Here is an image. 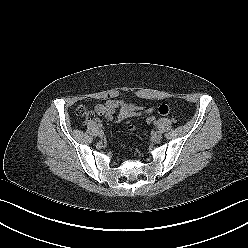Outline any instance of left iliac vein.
I'll use <instances>...</instances> for the list:
<instances>
[{
    "label": "left iliac vein",
    "mask_w": 248,
    "mask_h": 248,
    "mask_svg": "<svg viewBox=\"0 0 248 248\" xmlns=\"http://www.w3.org/2000/svg\"><path fill=\"white\" fill-rule=\"evenodd\" d=\"M152 138L154 141H160L161 138H162V134L160 131H155L153 134H152Z\"/></svg>",
    "instance_id": "left-iliac-vein-1"
}]
</instances>
